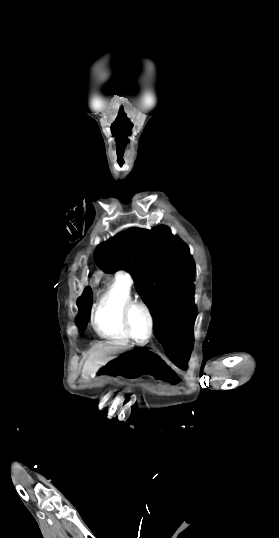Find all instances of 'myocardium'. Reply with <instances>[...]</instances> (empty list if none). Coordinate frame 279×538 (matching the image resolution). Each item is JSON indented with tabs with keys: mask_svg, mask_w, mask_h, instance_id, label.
Wrapping results in <instances>:
<instances>
[{
	"mask_svg": "<svg viewBox=\"0 0 279 538\" xmlns=\"http://www.w3.org/2000/svg\"><path fill=\"white\" fill-rule=\"evenodd\" d=\"M100 208H103L104 207H100ZM134 309H141L147 319H148V324H149V334H148V337L146 340L144 341H139L138 339H136L132 333V330H131V326H130V316H131V312L134 310ZM122 324H123V328L126 332V334L128 335V337L136 344L138 345H145L147 344L153 337V334H154V330H155V321H154V316L152 314V311L151 309L149 308V306L144 303V302H141V301H137V300H132L130 302H128L124 308H123V311H122Z\"/></svg>",
	"mask_w": 279,
	"mask_h": 538,
	"instance_id": "1",
	"label": "myocardium"
}]
</instances>
